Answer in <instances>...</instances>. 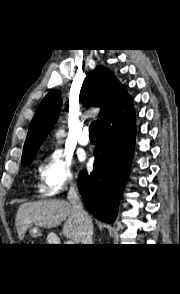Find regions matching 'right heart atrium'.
I'll return each instance as SVG.
<instances>
[{
	"label": "right heart atrium",
	"instance_id": "right-heart-atrium-1",
	"mask_svg": "<svg viewBox=\"0 0 180 294\" xmlns=\"http://www.w3.org/2000/svg\"><path fill=\"white\" fill-rule=\"evenodd\" d=\"M39 189L45 197H54L76 184L72 158L62 149H52L38 167Z\"/></svg>",
	"mask_w": 180,
	"mask_h": 294
}]
</instances>
